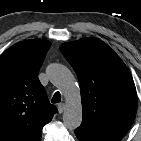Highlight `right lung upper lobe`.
Instances as JSON below:
<instances>
[{
	"instance_id": "obj_1",
	"label": "right lung upper lobe",
	"mask_w": 141,
	"mask_h": 141,
	"mask_svg": "<svg viewBox=\"0 0 141 141\" xmlns=\"http://www.w3.org/2000/svg\"><path fill=\"white\" fill-rule=\"evenodd\" d=\"M50 45L25 40L0 56V141H40L43 126L57 113L38 79Z\"/></svg>"
}]
</instances>
